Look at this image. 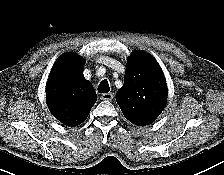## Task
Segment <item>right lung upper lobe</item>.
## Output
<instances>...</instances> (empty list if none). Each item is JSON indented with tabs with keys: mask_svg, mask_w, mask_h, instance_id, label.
Masks as SVG:
<instances>
[{
	"mask_svg": "<svg viewBox=\"0 0 224 175\" xmlns=\"http://www.w3.org/2000/svg\"><path fill=\"white\" fill-rule=\"evenodd\" d=\"M85 60L65 53L52 67L46 86V99L52 115L66 126L86 120L97 100L92 84L83 77Z\"/></svg>",
	"mask_w": 224,
	"mask_h": 175,
	"instance_id": "right-lung-upper-lobe-1",
	"label": "right lung upper lobe"
}]
</instances>
